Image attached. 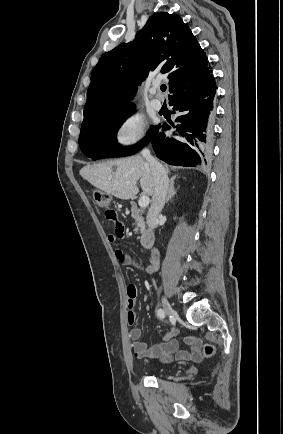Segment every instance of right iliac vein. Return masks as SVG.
<instances>
[{
    "label": "right iliac vein",
    "mask_w": 283,
    "mask_h": 434,
    "mask_svg": "<svg viewBox=\"0 0 283 434\" xmlns=\"http://www.w3.org/2000/svg\"><path fill=\"white\" fill-rule=\"evenodd\" d=\"M161 301H162V307H163L164 313L168 317H175L176 313L173 310V308L171 307L170 303L164 297L161 298Z\"/></svg>",
    "instance_id": "obj_1"
}]
</instances>
